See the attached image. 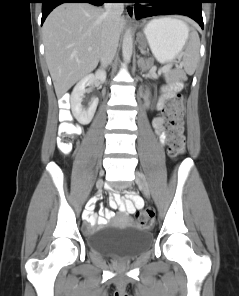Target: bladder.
<instances>
[{"label":"bladder","instance_id":"1","mask_svg":"<svg viewBox=\"0 0 239 296\" xmlns=\"http://www.w3.org/2000/svg\"><path fill=\"white\" fill-rule=\"evenodd\" d=\"M86 241L103 256L134 258L152 245L153 237L149 230L138 225H107L95 229Z\"/></svg>","mask_w":239,"mask_h":296}]
</instances>
